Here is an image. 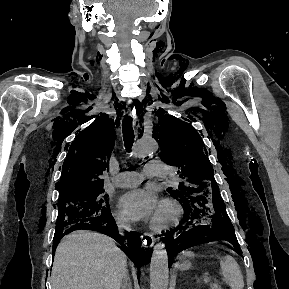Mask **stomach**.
Segmentation results:
<instances>
[{
  "instance_id": "0dacf381",
  "label": "stomach",
  "mask_w": 289,
  "mask_h": 289,
  "mask_svg": "<svg viewBox=\"0 0 289 289\" xmlns=\"http://www.w3.org/2000/svg\"><path fill=\"white\" fill-rule=\"evenodd\" d=\"M190 256L189 253L185 256V260L179 264V269L180 270H187L191 267L190 261L187 259Z\"/></svg>"
}]
</instances>
